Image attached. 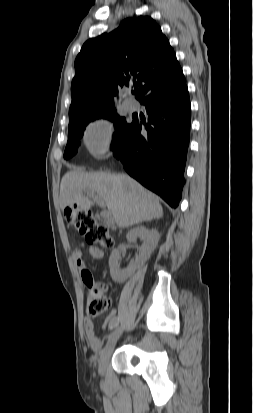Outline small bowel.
Masks as SVG:
<instances>
[{
    "mask_svg": "<svg viewBox=\"0 0 253 413\" xmlns=\"http://www.w3.org/2000/svg\"><path fill=\"white\" fill-rule=\"evenodd\" d=\"M87 247L89 250L90 255L94 258V259H101L104 256V252L97 246L93 245V244H89V243H82L79 248H77L74 252H73V261L74 264L76 266V268L78 269L81 279L83 281V283L86 286H89L91 284L94 283L93 281V276L92 273L90 272V270L87 268L84 260H83V249ZM117 320V313L115 310H112L106 320L105 323L103 325V328L106 329H110L111 326L114 324V322ZM84 332H85V336L87 338V341L91 347V349L93 351H98L101 349L102 345H103V340L96 335L95 333V326L94 323L92 321L91 318L86 317L84 319Z\"/></svg>",
    "mask_w": 253,
    "mask_h": 413,
    "instance_id": "small-bowel-1",
    "label": "small bowel"
}]
</instances>
